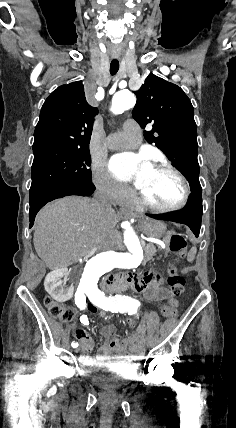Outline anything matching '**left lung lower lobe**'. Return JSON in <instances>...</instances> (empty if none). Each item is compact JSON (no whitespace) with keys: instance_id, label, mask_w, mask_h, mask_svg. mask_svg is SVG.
<instances>
[{"instance_id":"0a47b994","label":"left lung lower lobe","mask_w":236,"mask_h":428,"mask_svg":"<svg viewBox=\"0 0 236 428\" xmlns=\"http://www.w3.org/2000/svg\"><path fill=\"white\" fill-rule=\"evenodd\" d=\"M202 190L191 192L187 205L179 211L167 214H147V216L158 219L173 221L181 224H185L190 227L192 232L199 235L202 219Z\"/></svg>"}]
</instances>
